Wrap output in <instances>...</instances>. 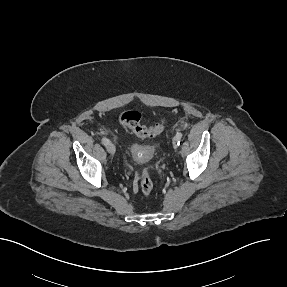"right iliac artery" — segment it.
Segmentation results:
<instances>
[{
    "mask_svg": "<svg viewBox=\"0 0 287 287\" xmlns=\"http://www.w3.org/2000/svg\"><path fill=\"white\" fill-rule=\"evenodd\" d=\"M102 143H103L104 145H107V144L109 143V140H108L107 138H103V139H102Z\"/></svg>",
    "mask_w": 287,
    "mask_h": 287,
    "instance_id": "obj_1",
    "label": "right iliac artery"
}]
</instances>
